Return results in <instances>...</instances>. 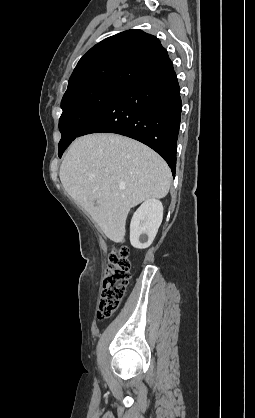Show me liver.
<instances>
[{
    "instance_id": "obj_1",
    "label": "liver",
    "mask_w": 255,
    "mask_h": 418,
    "mask_svg": "<svg viewBox=\"0 0 255 418\" xmlns=\"http://www.w3.org/2000/svg\"><path fill=\"white\" fill-rule=\"evenodd\" d=\"M65 191L114 242H122L130 209L164 198L172 175L167 163L146 145L117 134L76 139L60 167Z\"/></svg>"
}]
</instances>
